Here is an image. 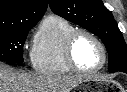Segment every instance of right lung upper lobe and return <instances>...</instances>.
<instances>
[{"instance_id": "cb5924a9", "label": "right lung upper lobe", "mask_w": 127, "mask_h": 92, "mask_svg": "<svg viewBox=\"0 0 127 92\" xmlns=\"http://www.w3.org/2000/svg\"><path fill=\"white\" fill-rule=\"evenodd\" d=\"M47 5V0H0V29L35 25Z\"/></svg>"}]
</instances>
